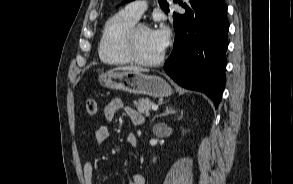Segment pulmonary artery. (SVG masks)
<instances>
[{"label":"pulmonary artery","mask_w":293,"mask_h":184,"mask_svg":"<svg viewBox=\"0 0 293 184\" xmlns=\"http://www.w3.org/2000/svg\"><path fill=\"white\" fill-rule=\"evenodd\" d=\"M145 10L146 2L144 0H136L127 4L123 11L138 20Z\"/></svg>","instance_id":"1"}]
</instances>
